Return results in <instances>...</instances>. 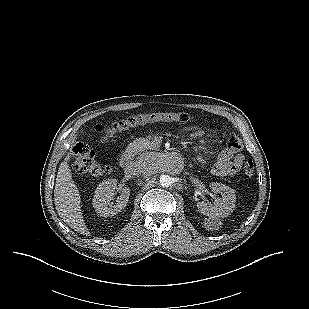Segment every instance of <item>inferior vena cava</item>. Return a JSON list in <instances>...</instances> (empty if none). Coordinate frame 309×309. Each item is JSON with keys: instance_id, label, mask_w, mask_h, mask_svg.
I'll list each match as a JSON object with an SVG mask.
<instances>
[{"instance_id": "602c4592", "label": "inferior vena cava", "mask_w": 309, "mask_h": 309, "mask_svg": "<svg viewBox=\"0 0 309 309\" xmlns=\"http://www.w3.org/2000/svg\"><path fill=\"white\" fill-rule=\"evenodd\" d=\"M125 173L129 177L136 176L141 173L145 174L146 176H149L151 175L152 171L148 170L146 165L139 161V162H135L131 164L130 166H128L127 169L125 170Z\"/></svg>"}]
</instances>
